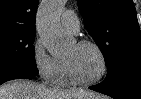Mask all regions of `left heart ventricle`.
I'll return each mask as SVG.
<instances>
[{"mask_svg": "<svg viewBox=\"0 0 141 99\" xmlns=\"http://www.w3.org/2000/svg\"><path fill=\"white\" fill-rule=\"evenodd\" d=\"M76 74L82 80H92L101 72V60L91 47L73 45L65 56Z\"/></svg>", "mask_w": 141, "mask_h": 99, "instance_id": "b2bd125f", "label": "left heart ventricle"}]
</instances>
